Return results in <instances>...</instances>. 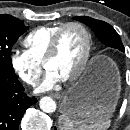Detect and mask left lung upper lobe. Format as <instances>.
Masks as SVG:
<instances>
[{
  "instance_id": "left-lung-upper-lobe-1",
  "label": "left lung upper lobe",
  "mask_w": 130,
  "mask_h": 130,
  "mask_svg": "<svg viewBox=\"0 0 130 130\" xmlns=\"http://www.w3.org/2000/svg\"><path fill=\"white\" fill-rule=\"evenodd\" d=\"M73 19L88 25L103 44L122 52L125 51L118 33L110 24L87 16H76Z\"/></svg>"
}]
</instances>
